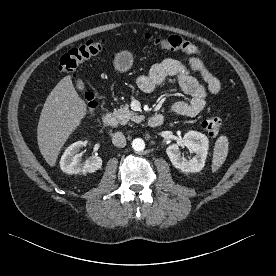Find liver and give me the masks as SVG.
<instances>
[{
  "label": "liver",
  "mask_w": 276,
  "mask_h": 276,
  "mask_svg": "<svg viewBox=\"0 0 276 276\" xmlns=\"http://www.w3.org/2000/svg\"><path fill=\"white\" fill-rule=\"evenodd\" d=\"M86 113V103L76 92L71 76L61 79L48 95L37 127L39 150L49 166H55L61 148Z\"/></svg>",
  "instance_id": "liver-1"
}]
</instances>
